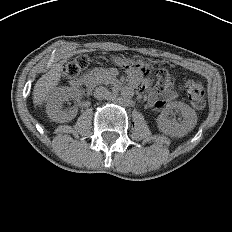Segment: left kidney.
Returning <instances> with one entry per match:
<instances>
[{
    "label": "left kidney",
    "instance_id": "left-kidney-1",
    "mask_svg": "<svg viewBox=\"0 0 232 232\" xmlns=\"http://www.w3.org/2000/svg\"><path fill=\"white\" fill-rule=\"evenodd\" d=\"M172 109L181 112L183 120H177L169 117ZM197 123V114L194 109L183 102H172L167 105L157 118V126L159 130L170 137H183L192 131Z\"/></svg>",
    "mask_w": 232,
    "mask_h": 232
}]
</instances>
